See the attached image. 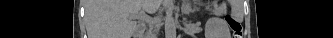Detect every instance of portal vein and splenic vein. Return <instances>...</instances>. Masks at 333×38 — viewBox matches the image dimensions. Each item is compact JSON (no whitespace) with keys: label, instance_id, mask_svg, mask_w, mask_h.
<instances>
[{"label":"portal vein and splenic vein","instance_id":"portal-vein-and-splenic-vein-1","mask_svg":"<svg viewBox=\"0 0 333 38\" xmlns=\"http://www.w3.org/2000/svg\"><path fill=\"white\" fill-rule=\"evenodd\" d=\"M133 16H135V15H132V17ZM136 17L143 20V21H146V22L150 21V17L148 15H146L143 10H141L139 13H137Z\"/></svg>","mask_w":333,"mask_h":38}]
</instances>
